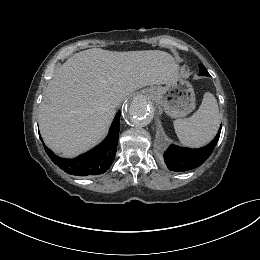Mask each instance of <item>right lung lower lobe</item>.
I'll list each match as a JSON object with an SVG mask.
<instances>
[{
    "label": "right lung lower lobe",
    "mask_w": 260,
    "mask_h": 260,
    "mask_svg": "<svg viewBox=\"0 0 260 260\" xmlns=\"http://www.w3.org/2000/svg\"><path fill=\"white\" fill-rule=\"evenodd\" d=\"M119 127L120 112L116 114L106 139L92 150L74 159L60 158L47 147H45V151L50 159L68 174L78 176L103 174L110 168L114 161L117 151Z\"/></svg>",
    "instance_id": "obj_1"
}]
</instances>
